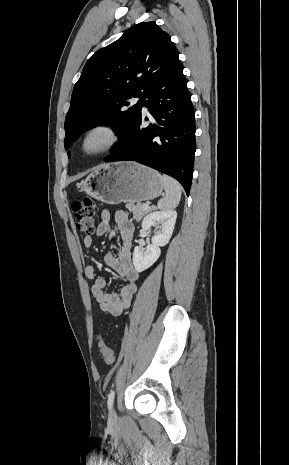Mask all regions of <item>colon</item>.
I'll return each instance as SVG.
<instances>
[{
  "label": "colon",
  "mask_w": 289,
  "mask_h": 465,
  "mask_svg": "<svg viewBox=\"0 0 289 465\" xmlns=\"http://www.w3.org/2000/svg\"><path fill=\"white\" fill-rule=\"evenodd\" d=\"M77 229L87 235L95 230V208L90 198L76 199L72 202ZM98 346L102 357L107 364L114 361V352L105 345L101 335H98Z\"/></svg>",
  "instance_id": "1"
}]
</instances>
